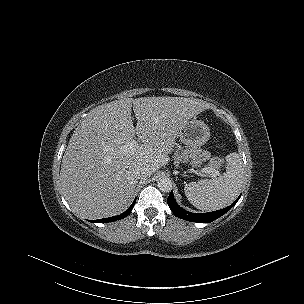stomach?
<instances>
[{
  "label": "stomach",
  "mask_w": 304,
  "mask_h": 304,
  "mask_svg": "<svg viewBox=\"0 0 304 304\" xmlns=\"http://www.w3.org/2000/svg\"><path fill=\"white\" fill-rule=\"evenodd\" d=\"M180 140L190 147L186 154V161H189L193 167H199L205 161L199 148L204 145L210 138V129L202 120L193 118L188 120L179 131Z\"/></svg>",
  "instance_id": "stomach-1"
}]
</instances>
